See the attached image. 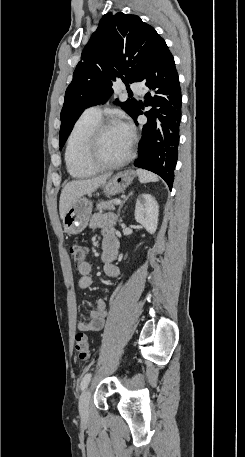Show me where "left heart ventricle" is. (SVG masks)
I'll return each instance as SVG.
<instances>
[{
	"instance_id": "obj_1",
	"label": "left heart ventricle",
	"mask_w": 245,
	"mask_h": 457,
	"mask_svg": "<svg viewBox=\"0 0 245 457\" xmlns=\"http://www.w3.org/2000/svg\"><path fill=\"white\" fill-rule=\"evenodd\" d=\"M129 144L130 138L118 126L112 127L105 131L99 144L91 147L89 157L94 163L114 160L127 151Z\"/></svg>"
}]
</instances>
